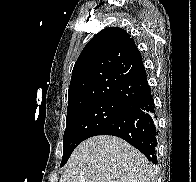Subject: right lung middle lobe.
I'll use <instances>...</instances> for the list:
<instances>
[{"label": "right lung middle lobe", "mask_w": 196, "mask_h": 182, "mask_svg": "<svg viewBox=\"0 0 196 182\" xmlns=\"http://www.w3.org/2000/svg\"><path fill=\"white\" fill-rule=\"evenodd\" d=\"M131 107V104L110 99H100L67 111L63 137L61 167L68 161L73 150L109 121Z\"/></svg>", "instance_id": "dd1d6c3e"}]
</instances>
